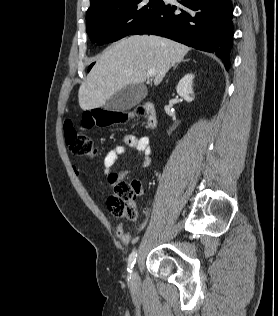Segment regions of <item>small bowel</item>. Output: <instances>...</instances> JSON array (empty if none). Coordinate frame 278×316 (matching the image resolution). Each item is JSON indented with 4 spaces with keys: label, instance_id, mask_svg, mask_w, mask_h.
I'll return each instance as SVG.
<instances>
[{
    "label": "small bowel",
    "instance_id": "obj_1",
    "mask_svg": "<svg viewBox=\"0 0 278 316\" xmlns=\"http://www.w3.org/2000/svg\"><path fill=\"white\" fill-rule=\"evenodd\" d=\"M130 150H135L140 159L141 166L148 167L151 164V144L148 136H135L128 135L124 138L123 143L118 144L111 148L103 159V167L106 174H109L112 170H114L116 162L126 155ZM76 173L79 172V168L77 166L73 167ZM127 172H121L117 174L119 180L125 178ZM140 193V189L137 194ZM148 219V215L146 214V219L137 224V227L141 229ZM116 236L123 244H129L131 241V233L126 230L124 225L120 223L116 228Z\"/></svg>",
    "mask_w": 278,
    "mask_h": 316
}]
</instances>
